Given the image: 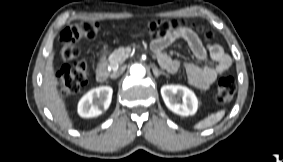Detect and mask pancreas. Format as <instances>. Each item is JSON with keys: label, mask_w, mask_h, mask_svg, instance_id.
I'll return each instance as SVG.
<instances>
[{"label": "pancreas", "mask_w": 283, "mask_h": 162, "mask_svg": "<svg viewBox=\"0 0 283 162\" xmlns=\"http://www.w3.org/2000/svg\"><path fill=\"white\" fill-rule=\"evenodd\" d=\"M129 54H130V48H128V47L127 48L120 47V48L116 49L112 53V55L109 59L111 67L114 69L117 66H119L120 64H122L129 57Z\"/></svg>", "instance_id": "obj_1"}]
</instances>
